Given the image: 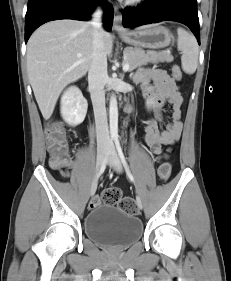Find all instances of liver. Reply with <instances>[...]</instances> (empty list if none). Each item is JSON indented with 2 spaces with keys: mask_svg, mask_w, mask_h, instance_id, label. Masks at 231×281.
<instances>
[{
  "mask_svg": "<svg viewBox=\"0 0 231 281\" xmlns=\"http://www.w3.org/2000/svg\"><path fill=\"white\" fill-rule=\"evenodd\" d=\"M112 47V35L104 31L106 56ZM92 53V27L86 22L51 21L32 34L27 44V72L44 119L51 117L63 89L87 73Z\"/></svg>",
  "mask_w": 231,
  "mask_h": 281,
  "instance_id": "liver-1",
  "label": "liver"
}]
</instances>
